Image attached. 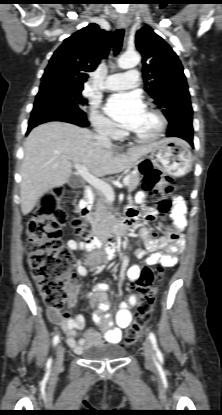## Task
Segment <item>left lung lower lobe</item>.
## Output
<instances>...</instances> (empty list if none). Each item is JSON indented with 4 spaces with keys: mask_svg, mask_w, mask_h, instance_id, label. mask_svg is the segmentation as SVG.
<instances>
[{
    "mask_svg": "<svg viewBox=\"0 0 222 415\" xmlns=\"http://www.w3.org/2000/svg\"><path fill=\"white\" fill-rule=\"evenodd\" d=\"M167 136L182 138L193 146L192 114H185L178 122L169 124Z\"/></svg>",
    "mask_w": 222,
    "mask_h": 415,
    "instance_id": "1",
    "label": "left lung lower lobe"
}]
</instances>
